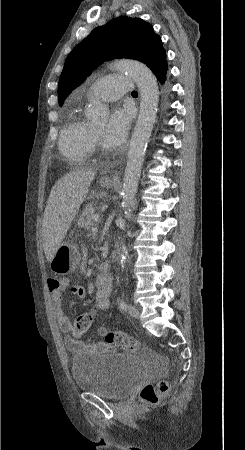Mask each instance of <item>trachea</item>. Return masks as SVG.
I'll return each mask as SVG.
<instances>
[{
	"instance_id": "1",
	"label": "trachea",
	"mask_w": 245,
	"mask_h": 450,
	"mask_svg": "<svg viewBox=\"0 0 245 450\" xmlns=\"http://www.w3.org/2000/svg\"><path fill=\"white\" fill-rule=\"evenodd\" d=\"M138 93L136 91H132V95H137Z\"/></svg>"
}]
</instances>
